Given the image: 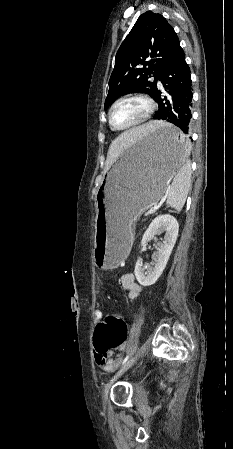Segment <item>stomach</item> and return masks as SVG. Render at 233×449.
I'll use <instances>...</instances> for the list:
<instances>
[{
  "label": "stomach",
  "instance_id": "stomach-1",
  "mask_svg": "<svg viewBox=\"0 0 233 449\" xmlns=\"http://www.w3.org/2000/svg\"><path fill=\"white\" fill-rule=\"evenodd\" d=\"M187 137L163 123L135 142L107 173L98 193L95 224L96 266L116 268L134 238L139 216L164 195L187 159Z\"/></svg>",
  "mask_w": 233,
  "mask_h": 449
}]
</instances>
